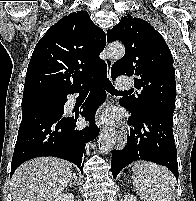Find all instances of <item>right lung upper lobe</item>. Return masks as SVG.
I'll list each match as a JSON object with an SVG mask.
<instances>
[{
    "mask_svg": "<svg viewBox=\"0 0 196 201\" xmlns=\"http://www.w3.org/2000/svg\"><path fill=\"white\" fill-rule=\"evenodd\" d=\"M105 45V33L86 11L64 16L35 46L23 97L63 96L86 85L101 71L107 72L99 57Z\"/></svg>",
    "mask_w": 196,
    "mask_h": 201,
    "instance_id": "1",
    "label": "right lung upper lobe"
}]
</instances>
